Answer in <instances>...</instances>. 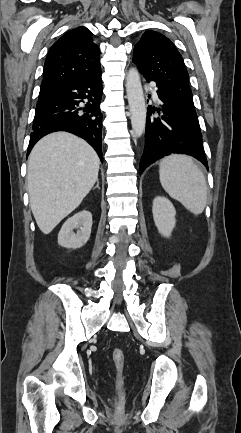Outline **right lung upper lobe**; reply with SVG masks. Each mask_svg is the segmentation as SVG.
Returning a JSON list of instances; mask_svg holds the SVG:
<instances>
[{
    "mask_svg": "<svg viewBox=\"0 0 241 433\" xmlns=\"http://www.w3.org/2000/svg\"><path fill=\"white\" fill-rule=\"evenodd\" d=\"M101 72L100 49L85 27L67 32L49 50L44 64L40 96L75 79Z\"/></svg>",
    "mask_w": 241,
    "mask_h": 433,
    "instance_id": "cb5924a9",
    "label": "right lung upper lobe"
}]
</instances>
